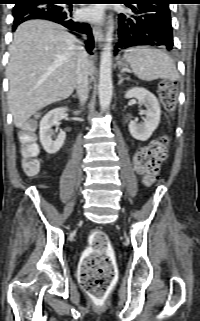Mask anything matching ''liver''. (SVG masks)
<instances>
[{"mask_svg": "<svg viewBox=\"0 0 200 321\" xmlns=\"http://www.w3.org/2000/svg\"><path fill=\"white\" fill-rule=\"evenodd\" d=\"M79 47L72 34L49 21L30 20L17 28L6 69L8 103L17 128L38 110L73 93ZM94 69L88 60L89 74Z\"/></svg>", "mask_w": 200, "mask_h": 321, "instance_id": "liver-1", "label": "liver"}]
</instances>
